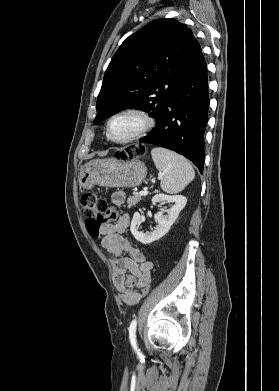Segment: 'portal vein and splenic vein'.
<instances>
[{
	"label": "portal vein and splenic vein",
	"mask_w": 279,
	"mask_h": 391,
	"mask_svg": "<svg viewBox=\"0 0 279 391\" xmlns=\"http://www.w3.org/2000/svg\"><path fill=\"white\" fill-rule=\"evenodd\" d=\"M139 194H140V195H144V196H145V195H147V194H148V191H147V190H143V191H140V192H139Z\"/></svg>",
	"instance_id": "1"
}]
</instances>
